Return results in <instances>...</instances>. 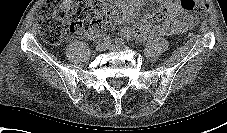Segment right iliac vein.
<instances>
[{
  "label": "right iliac vein",
  "instance_id": "1",
  "mask_svg": "<svg viewBox=\"0 0 227 133\" xmlns=\"http://www.w3.org/2000/svg\"><path fill=\"white\" fill-rule=\"evenodd\" d=\"M107 48H108V45L105 44L104 42H99L96 45V50L99 51V52H102V51L106 50Z\"/></svg>",
  "mask_w": 227,
  "mask_h": 133
}]
</instances>
